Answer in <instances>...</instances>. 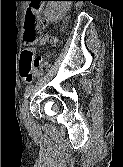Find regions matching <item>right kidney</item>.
<instances>
[{
	"mask_svg": "<svg viewBox=\"0 0 123 167\" xmlns=\"http://www.w3.org/2000/svg\"><path fill=\"white\" fill-rule=\"evenodd\" d=\"M71 1H49L46 6L45 16L51 21L61 19L70 9Z\"/></svg>",
	"mask_w": 123,
	"mask_h": 167,
	"instance_id": "1",
	"label": "right kidney"
}]
</instances>
